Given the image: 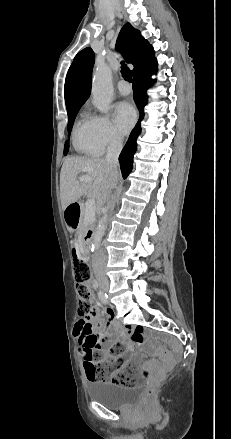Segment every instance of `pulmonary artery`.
<instances>
[{
	"instance_id": "pulmonary-artery-1",
	"label": "pulmonary artery",
	"mask_w": 231,
	"mask_h": 439,
	"mask_svg": "<svg viewBox=\"0 0 231 439\" xmlns=\"http://www.w3.org/2000/svg\"><path fill=\"white\" fill-rule=\"evenodd\" d=\"M118 90H119V92L121 94L127 95V94H129L131 92V87H130V85L126 81L121 80L118 83Z\"/></svg>"
}]
</instances>
